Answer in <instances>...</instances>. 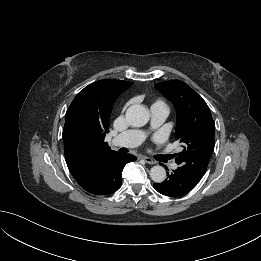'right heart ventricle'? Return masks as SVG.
Listing matches in <instances>:
<instances>
[{
  "label": "right heart ventricle",
  "mask_w": 261,
  "mask_h": 261,
  "mask_svg": "<svg viewBox=\"0 0 261 261\" xmlns=\"http://www.w3.org/2000/svg\"><path fill=\"white\" fill-rule=\"evenodd\" d=\"M158 108H163L167 110V105L162 99H156L151 104V110Z\"/></svg>",
  "instance_id": "1"
}]
</instances>
